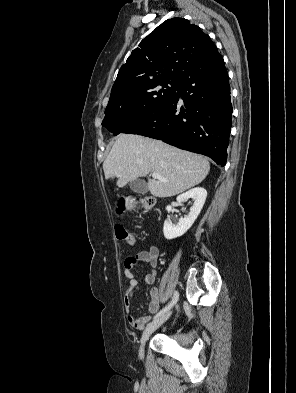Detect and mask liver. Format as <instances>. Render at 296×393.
Segmentation results:
<instances>
[{
  "label": "liver",
  "mask_w": 296,
  "mask_h": 393,
  "mask_svg": "<svg viewBox=\"0 0 296 393\" xmlns=\"http://www.w3.org/2000/svg\"><path fill=\"white\" fill-rule=\"evenodd\" d=\"M106 179L116 177L124 187L138 177L158 173L167 181L148 180L150 193L159 198L178 195L201 183L209 173V161L160 140L120 134L103 163Z\"/></svg>",
  "instance_id": "6515ba94"
}]
</instances>
